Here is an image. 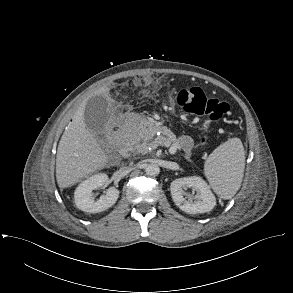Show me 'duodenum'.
Listing matches in <instances>:
<instances>
[{
	"mask_svg": "<svg viewBox=\"0 0 293 293\" xmlns=\"http://www.w3.org/2000/svg\"><path fill=\"white\" fill-rule=\"evenodd\" d=\"M122 152L125 153V152H128V151L125 148H123L122 149Z\"/></svg>",
	"mask_w": 293,
	"mask_h": 293,
	"instance_id": "duodenum-1",
	"label": "duodenum"
}]
</instances>
